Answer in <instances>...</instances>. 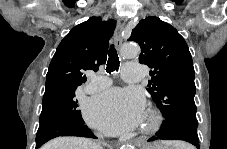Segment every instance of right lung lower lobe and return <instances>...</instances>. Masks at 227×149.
Listing matches in <instances>:
<instances>
[{
  "instance_id": "1",
  "label": "right lung lower lobe",
  "mask_w": 227,
  "mask_h": 149,
  "mask_svg": "<svg viewBox=\"0 0 227 149\" xmlns=\"http://www.w3.org/2000/svg\"><path fill=\"white\" fill-rule=\"evenodd\" d=\"M58 136H80L95 138L84 122H64L58 124L41 125L36 135V149L47 141Z\"/></svg>"
}]
</instances>
